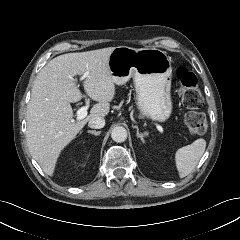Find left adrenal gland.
<instances>
[{
    "label": "left adrenal gland",
    "mask_w": 240,
    "mask_h": 240,
    "mask_svg": "<svg viewBox=\"0 0 240 240\" xmlns=\"http://www.w3.org/2000/svg\"><path fill=\"white\" fill-rule=\"evenodd\" d=\"M133 128L136 129V135H137V137L140 138V140L144 143V142H145L144 137H145V136H148V133H147V132L140 133L138 126H133Z\"/></svg>",
    "instance_id": "left-adrenal-gland-1"
}]
</instances>
